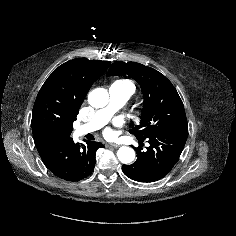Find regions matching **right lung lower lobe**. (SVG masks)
<instances>
[{
  "label": "right lung lower lobe",
  "mask_w": 236,
  "mask_h": 236,
  "mask_svg": "<svg viewBox=\"0 0 236 236\" xmlns=\"http://www.w3.org/2000/svg\"><path fill=\"white\" fill-rule=\"evenodd\" d=\"M34 143L47 169L66 181H79L89 176L95 167V152L103 147L94 141H86V145L74 143L72 138H41Z\"/></svg>",
  "instance_id": "right-lung-lower-lobe-1"
}]
</instances>
